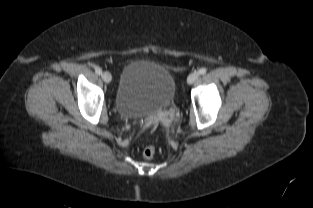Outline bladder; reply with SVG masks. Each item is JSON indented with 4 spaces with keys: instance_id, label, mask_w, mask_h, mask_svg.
Returning <instances> with one entry per match:
<instances>
[{
    "instance_id": "bladder-1",
    "label": "bladder",
    "mask_w": 313,
    "mask_h": 208,
    "mask_svg": "<svg viewBox=\"0 0 313 208\" xmlns=\"http://www.w3.org/2000/svg\"><path fill=\"white\" fill-rule=\"evenodd\" d=\"M175 93V79L166 68L152 62L133 61L122 70L115 108L126 118L148 117L170 105Z\"/></svg>"
}]
</instances>
